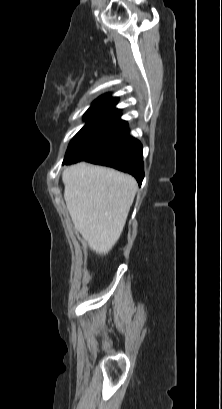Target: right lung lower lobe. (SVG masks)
<instances>
[{
  "label": "right lung lower lobe",
  "instance_id": "obj_1",
  "mask_svg": "<svg viewBox=\"0 0 222 409\" xmlns=\"http://www.w3.org/2000/svg\"><path fill=\"white\" fill-rule=\"evenodd\" d=\"M83 161L129 173L136 178L139 185L144 178L142 145L129 135L127 123L121 119L117 121L103 146Z\"/></svg>",
  "mask_w": 222,
  "mask_h": 409
}]
</instances>
